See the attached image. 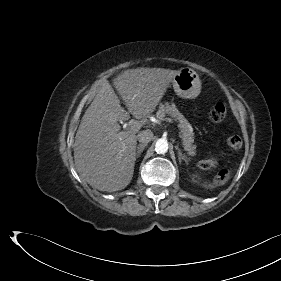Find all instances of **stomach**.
<instances>
[{"label": "stomach", "mask_w": 281, "mask_h": 281, "mask_svg": "<svg viewBox=\"0 0 281 281\" xmlns=\"http://www.w3.org/2000/svg\"><path fill=\"white\" fill-rule=\"evenodd\" d=\"M175 93L181 98L193 99L201 90L198 74L189 67L181 68L172 80Z\"/></svg>", "instance_id": "obj_1"}]
</instances>
